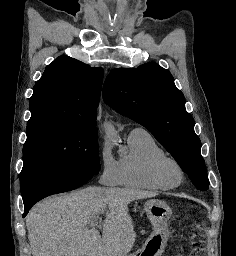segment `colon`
<instances>
[{"label":"colon","mask_w":236,"mask_h":256,"mask_svg":"<svg viewBox=\"0 0 236 256\" xmlns=\"http://www.w3.org/2000/svg\"><path fill=\"white\" fill-rule=\"evenodd\" d=\"M201 225L196 224L191 231L190 256H206L204 238L201 233Z\"/></svg>","instance_id":"obj_1"}]
</instances>
